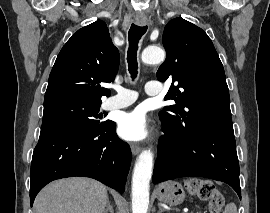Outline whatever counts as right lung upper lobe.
Returning <instances> with one entry per match:
<instances>
[{"instance_id": "right-lung-upper-lobe-1", "label": "right lung upper lobe", "mask_w": 270, "mask_h": 213, "mask_svg": "<svg viewBox=\"0 0 270 213\" xmlns=\"http://www.w3.org/2000/svg\"><path fill=\"white\" fill-rule=\"evenodd\" d=\"M118 66L119 52L103 21L79 29L57 56L44 106L65 100L101 103V97L111 93L100 83L112 82Z\"/></svg>"}]
</instances>
